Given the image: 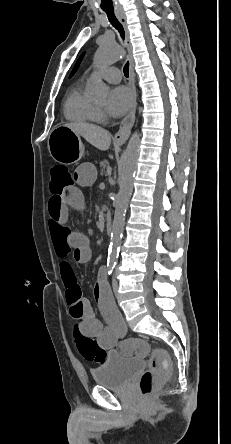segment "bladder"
Segmentation results:
<instances>
[{
  "label": "bladder",
  "instance_id": "bladder-1",
  "mask_svg": "<svg viewBox=\"0 0 231 444\" xmlns=\"http://www.w3.org/2000/svg\"><path fill=\"white\" fill-rule=\"evenodd\" d=\"M144 363L139 358H125L117 351H109L104 361L92 370L97 385L109 389L125 387L133 377L142 371Z\"/></svg>",
  "mask_w": 231,
  "mask_h": 444
}]
</instances>
